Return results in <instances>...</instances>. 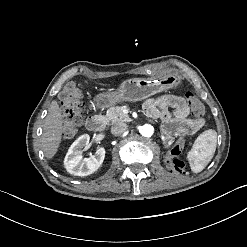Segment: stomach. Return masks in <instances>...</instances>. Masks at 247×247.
Here are the masks:
<instances>
[{"label": "stomach", "mask_w": 247, "mask_h": 247, "mask_svg": "<svg viewBox=\"0 0 247 247\" xmlns=\"http://www.w3.org/2000/svg\"><path fill=\"white\" fill-rule=\"evenodd\" d=\"M183 78L176 71H166L156 78H129L115 90L101 92L95 96L97 108H109L120 102L141 101L168 89H178Z\"/></svg>", "instance_id": "stomach-1"}]
</instances>
